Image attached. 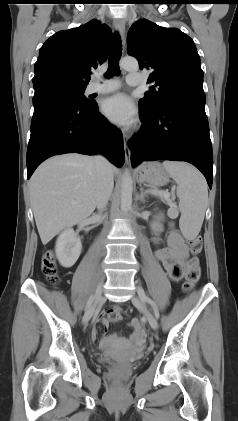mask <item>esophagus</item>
Wrapping results in <instances>:
<instances>
[{
	"instance_id": "esophagus-1",
	"label": "esophagus",
	"mask_w": 238,
	"mask_h": 421,
	"mask_svg": "<svg viewBox=\"0 0 238 421\" xmlns=\"http://www.w3.org/2000/svg\"><path fill=\"white\" fill-rule=\"evenodd\" d=\"M114 27L116 29V31L119 33V35L121 36L122 41H125V23L123 21V19L121 18H116L114 19ZM129 135L127 134H123V143H124V151H125V161L127 165H130L131 162V150L129 147Z\"/></svg>"
}]
</instances>
